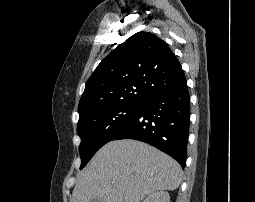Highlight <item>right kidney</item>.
I'll use <instances>...</instances> for the list:
<instances>
[{"label":"right kidney","mask_w":255,"mask_h":202,"mask_svg":"<svg viewBox=\"0 0 255 202\" xmlns=\"http://www.w3.org/2000/svg\"><path fill=\"white\" fill-rule=\"evenodd\" d=\"M143 202H170V196L165 191H157L151 193Z\"/></svg>","instance_id":"ca27d5eb"}]
</instances>
